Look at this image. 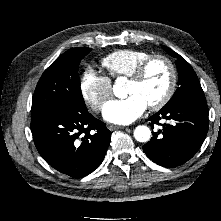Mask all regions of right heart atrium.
<instances>
[{
  "label": "right heart atrium",
  "mask_w": 221,
  "mask_h": 221,
  "mask_svg": "<svg viewBox=\"0 0 221 221\" xmlns=\"http://www.w3.org/2000/svg\"><path fill=\"white\" fill-rule=\"evenodd\" d=\"M80 91L85 102L95 112H100L112 94L111 79L87 69L80 80Z\"/></svg>",
  "instance_id": "d8ad5b80"
}]
</instances>
